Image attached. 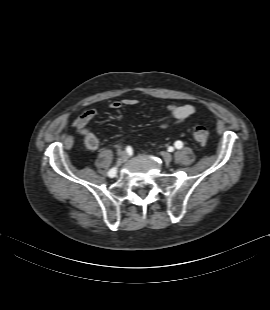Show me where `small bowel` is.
I'll return each instance as SVG.
<instances>
[{
  "label": "small bowel",
  "instance_id": "1",
  "mask_svg": "<svg viewBox=\"0 0 270 310\" xmlns=\"http://www.w3.org/2000/svg\"><path fill=\"white\" fill-rule=\"evenodd\" d=\"M138 100L135 98H126L120 101H114L110 104L113 110H120L124 106H135ZM168 116L162 121L161 127L167 128L172 124H179L184 122L196 112V108L192 104L185 105H169L167 107ZM97 115V110L94 108L87 109L80 115L75 117L72 121V126L76 131L84 137L85 145L90 150H95L99 146L98 137L88 127L89 123Z\"/></svg>",
  "mask_w": 270,
  "mask_h": 310
}]
</instances>
